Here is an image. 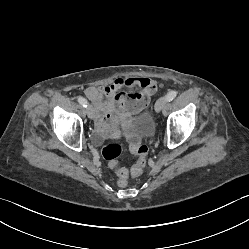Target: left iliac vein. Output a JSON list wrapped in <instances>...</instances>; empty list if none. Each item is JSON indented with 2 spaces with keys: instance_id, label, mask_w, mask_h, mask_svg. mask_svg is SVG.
I'll return each instance as SVG.
<instances>
[{
  "instance_id": "4c4485c4",
  "label": "left iliac vein",
  "mask_w": 249,
  "mask_h": 249,
  "mask_svg": "<svg viewBox=\"0 0 249 249\" xmlns=\"http://www.w3.org/2000/svg\"><path fill=\"white\" fill-rule=\"evenodd\" d=\"M167 98L161 97L155 103V111L160 112L167 105Z\"/></svg>"
}]
</instances>
